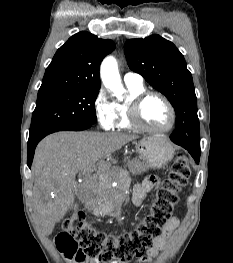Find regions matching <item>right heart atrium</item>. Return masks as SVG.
<instances>
[{"label":"right heart atrium","mask_w":233,"mask_h":263,"mask_svg":"<svg viewBox=\"0 0 233 263\" xmlns=\"http://www.w3.org/2000/svg\"><path fill=\"white\" fill-rule=\"evenodd\" d=\"M93 109L97 121L103 130H113L116 127L117 117L113 102L109 100L103 87L98 89L94 97Z\"/></svg>","instance_id":"d8ad5b80"}]
</instances>
